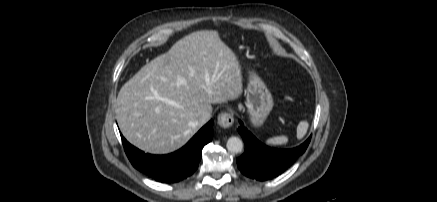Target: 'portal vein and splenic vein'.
Listing matches in <instances>:
<instances>
[{"instance_id": "18ae733b", "label": "portal vein and splenic vein", "mask_w": 437, "mask_h": 202, "mask_svg": "<svg viewBox=\"0 0 437 202\" xmlns=\"http://www.w3.org/2000/svg\"><path fill=\"white\" fill-rule=\"evenodd\" d=\"M185 79L184 78H182V77H178V79H177V85H183V84H185Z\"/></svg>"}]
</instances>
